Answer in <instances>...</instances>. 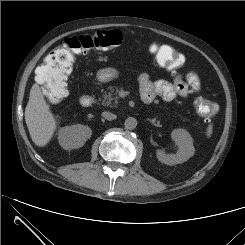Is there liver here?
Returning <instances> with one entry per match:
<instances>
[{
    "label": "liver",
    "instance_id": "obj_1",
    "mask_svg": "<svg viewBox=\"0 0 245 245\" xmlns=\"http://www.w3.org/2000/svg\"><path fill=\"white\" fill-rule=\"evenodd\" d=\"M25 121L32 141L39 147L45 146L56 130V120L37 83L30 90Z\"/></svg>",
    "mask_w": 245,
    "mask_h": 245
}]
</instances>
